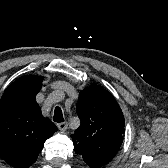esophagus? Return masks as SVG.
Here are the masks:
<instances>
[{
    "label": "esophagus",
    "mask_w": 168,
    "mask_h": 168,
    "mask_svg": "<svg viewBox=\"0 0 168 168\" xmlns=\"http://www.w3.org/2000/svg\"><path fill=\"white\" fill-rule=\"evenodd\" d=\"M57 126L60 130H66L67 127H68V123L67 122H62V123L57 124Z\"/></svg>",
    "instance_id": "1"
}]
</instances>
